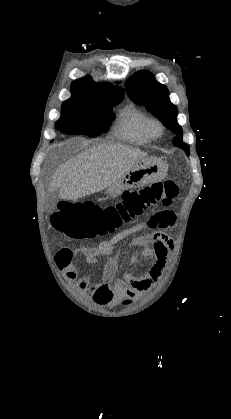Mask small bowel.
I'll use <instances>...</instances> for the list:
<instances>
[{
    "label": "small bowel",
    "instance_id": "c3829d8e",
    "mask_svg": "<svg viewBox=\"0 0 231 419\" xmlns=\"http://www.w3.org/2000/svg\"><path fill=\"white\" fill-rule=\"evenodd\" d=\"M175 214L164 210L153 215L146 222L123 229L110 239L103 241L98 247H83L79 252L87 264H93L100 256L107 257L102 275L96 282H91L86 275H80L76 252L64 248L62 258L66 263L56 260L58 267L76 287L98 306L112 307L125 298H137L151 290L161 279L167 265L170 253L175 249L174 240L165 232L154 231L149 235L135 238L131 246L141 250V255L153 260L145 275L139 276L126 273L123 278H117L118 263L111 257L114 247L131 235L147 229L165 228L167 232L174 230ZM164 223L166 225L164 226Z\"/></svg>",
    "mask_w": 231,
    "mask_h": 419
}]
</instances>
